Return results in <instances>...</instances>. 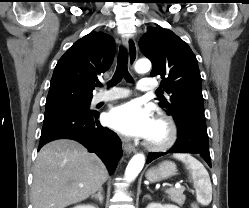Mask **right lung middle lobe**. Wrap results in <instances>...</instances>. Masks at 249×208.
<instances>
[{"label":"right lung middle lobe","mask_w":249,"mask_h":208,"mask_svg":"<svg viewBox=\"0 0 249 208\" xmlns=\"http://www.w3.org/2000/svg\"><path fill=\"white\" fill-rule=\"evenodd\" d=\"M90 102H91V100L82 101V102H75V103H69V104L61 105V106H58V107L77 108V109H81V110H84V111H92V110H89Z\"/></svg>","instance_id":"obj_1"}]
</instances>
